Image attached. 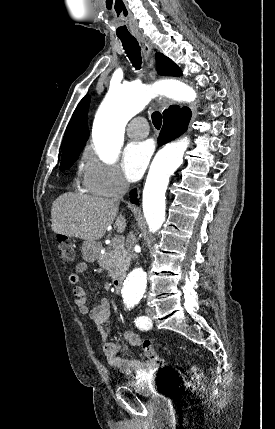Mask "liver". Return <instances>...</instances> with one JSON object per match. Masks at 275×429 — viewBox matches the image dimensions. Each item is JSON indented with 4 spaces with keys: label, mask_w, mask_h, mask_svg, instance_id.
<instances>
[{
    "label": "liver",
    "mask_w": 275,
    "mask_h": 429,
    "mask_svg": "<svg viewBox=\"0 0 275 429\" xmlns=\"http://www.w3.org/2000/svg\"><path fill=\"white\" fill-rule=\"evenodd\" d=\"M119 201L65 193L52 204V230L61 235L86 241L101 239L113 224L118 233L126 227L123 215L118 214Z\"/></svg>",
    "instance_id": "obj_1"
}]
</instances>
